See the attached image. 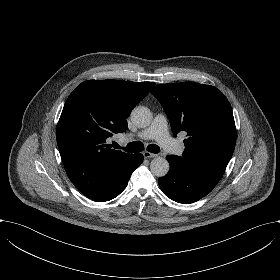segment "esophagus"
I'll use <instances>...</instances> for the list:
<instances>
[{
	"instance_id": "esophagus-1",
	"label": "esophagus",
	"mask_w": 280,
	"mask_h": 280,
	"mask_svg": "<svg viewBox=\"0 0 280 280\" xmlns=\"http://www.w3.org/2000/svg\"><path fill=\"white\" fill-rule=\"evenodd\" d=\"M143 156H144V158H155V157H157L158 155H157V154H154V153H151V152H149V151H145V152H143Z\"/></svg>"
}]
</instances>
